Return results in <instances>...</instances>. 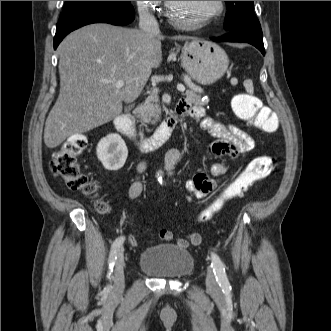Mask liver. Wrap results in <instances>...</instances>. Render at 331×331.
Returning <instances> with one entry per match:
<instances>
[{
	"label": "liver",
	"instance_id": "obj_1",
	"mask_svg": "<svg viewBox=\"0 0 331 331\" xmlns=\"http://www.w3.org/2000/svg\"><path fill=\"white\" fill-rule=\"evenodd\" d=\"M163 38L109 24H91L70 33L57 49L60 93L46 119L45 145L55 148L120 115L122 103L133 102L152 68L161 64ZM118 80L125 83L120 89L115 86Z\"/></svg>",
	"mask_w": 331,
	"mask_h": 331
}]
</instances>
